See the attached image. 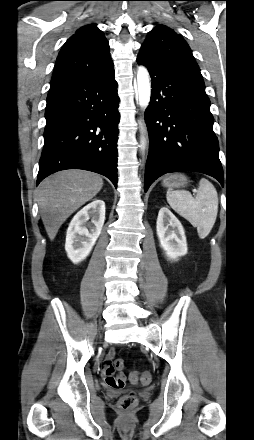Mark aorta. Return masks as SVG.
I'll return each instance as SVG.
<instances>
[{
  "instance_id": "obj_1",
  "label": "aorta",
  "mask_w": 254,
  "mask_h": 440,
  "mask_svg": "<svg viewBox=\"0 0 254 440\" xmlns=\"http://www.w3.org/2000/svg\"><path fill=\"white\" fill-rule=\"evenodd\" d=\"M137 91L139 104L143 109H146L150 102L151 97V85L150 78L147 69L143 66L138 68L137 72ZM142 149L145 147V139H141Z\"/></svg>"
}]
</instances>
